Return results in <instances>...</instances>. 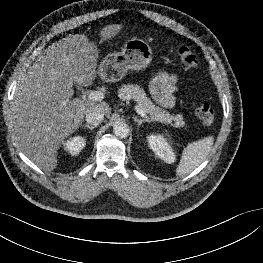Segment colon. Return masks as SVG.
Masks as SVG:
<instances>
[{
    "label": "colon",
    "mask_w": 263,
    "mask_h": 263,
    "mask_svg": "<svg viewBox=\"0 0 263 263\" xmlns=\"http://www.w3.org/2000/svg\"><path fill=\"white\" fill-rule=\"evenodd\" d=\"M180 62L185 69L191 70L197 66L196 53L188 46H181L178 50ZM196 117L204 125H212L215 121V110L204 100H198L192 104Z\"/></svg>",
    "instance_id": "obj_1"
}]
</instances>
